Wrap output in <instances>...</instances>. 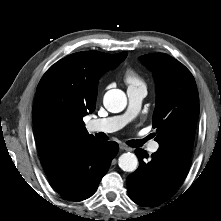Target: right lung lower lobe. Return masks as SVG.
<instances>
[{"mask_svg":"<svg viewBox=\"0 0 221 221\" xmlns=\"http://www.w3.org/2000/svg\"><path fill=\"white\" fill-rule=\"evenodd\" d=\"M118 148L116 142L93 138L43 156L41 163L60 195L82 201L95 193Z\"/></svg>","mask_w":221,"mask_h":221,"instance_id":"1","label":"right lung lower lobe"}]
</instances>
